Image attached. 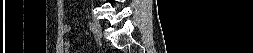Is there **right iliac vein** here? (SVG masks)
<instances>
[{
  "instance_id": "1",
  "label": "right iliac vein",
  "mask_w": 253,
  "mask_h": 53,
  "mask_svg": "<svg viewBox=\"0 0 253 53\" xmlns=\"http://www.w3.org/2000/svg\"><path fill=\"white\" fill-rule=\"evenodd\" d=\"M93 26L96 36L100 39L102 37V29L99 21L96 18L93 19Z\"/></svg>"
}]
</instances>
